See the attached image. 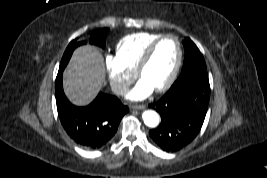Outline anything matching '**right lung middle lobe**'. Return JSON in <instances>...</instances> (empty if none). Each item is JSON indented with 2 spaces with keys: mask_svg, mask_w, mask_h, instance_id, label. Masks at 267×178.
<instances>
[{
  "mask_svg": "<svg viewBox=\"0 0 267 178\" xmlns=\"http://www.w3.org/2000/svg\"><path fill=\"white\" fill-rule=\"evenodd\" d=\"M107 29H98L96 30L92 36L90 37L89 39V43L90 44H94V45H97V46H100L101 48H104L105 47V36H104V33L106 32ZM83 44H86V41H72L67 49L65 50L64 52V55L62 57V60H61V63H60V69H64L66 67V65L68 64L70 58H71V55L73 53V51L75 50L76 47L80 46V45H83Z\"/></svg>",
  "mask_w": 267,
  "mask_h": 178,
  "instance_id": "right-lung-middle-lobe-1",
  "label": "right lung middle lobe"
}]
</instances>
